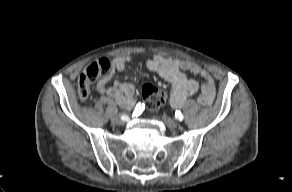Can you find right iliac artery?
<instances>
[{
  "label": "right iliac artery",
  "instance_id": "82829eb1",
  "mask_svg": "<svg viewBox=\"0 0 292 192\" xmlns=\"http://www.w3.org/2000/svg\"><path fill=\"white\" fill-rule=\"evenodd\" d=\"M144 107H145L144 104L138 103L136 108H135L134 113H141L144 110ZM134 113H131L132 114V118H131L132 122L136 121V119H137V116Z\"/></svg>",
  "mask_w": 292,
  "mask_h": 192
}]
</instances>
